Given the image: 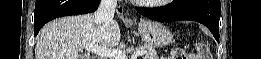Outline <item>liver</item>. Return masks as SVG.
<instances>
[{"instance_id":"liver-1","label":"liver","mask_w":261,"mask_h":59,"mask_svg":"<svg viewBox=\"0 0 261 59\" xmlns=\"http://www.w3.org/2000/svg\"><path fill=\"white\" fill-rule=\"evenodd\" d=\"M121 33L116 21L95 23L93 14L58 18L39 32L36 59H82L78 52L89 44L112 48L119 44Z\"/></svg>"}]
</instances>
